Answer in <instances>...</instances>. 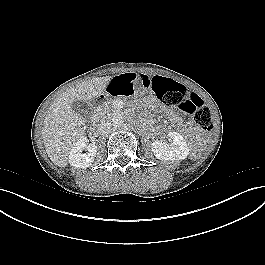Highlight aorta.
I'll use <instances>...</instances> for the list:
<instances>
[{
    "instance_id": "1",
    "label": "aorta",
    "mask_w": 265,
    "mask_h": 265,
    "mask_svg": "<svg viewBox=\"0 0 265 265\" xmlns=\"http://www.w3.org/2000/svg\"><path fill=\"white\" fill-rule=\"evenodd\" d=\"M121 113H116L111 117V122L114 127H121L123 125V117L120 115Z\"/></svg>"
}]
</instances>
